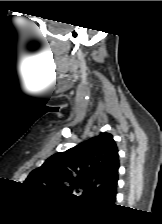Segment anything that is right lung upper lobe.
Instances as JSON below:
<instances>
[{"label": "right lung upper lobe", "mask_w": 162, "mask_h": 224, "mask_svg": "<svg viewBox=\"0 0 162 224\" xmlns=\"http://www.w3.org/2000/svg\"><path fill=\"white\" fill-rule=\"evenodd\" d=\"M119 169L118 149L113 136L102 133L65 152L48 158L27 177L26 185L62 194L82 191V197L112 202Z\"/></svg>", "instance_id": "1"}]
</instances>
